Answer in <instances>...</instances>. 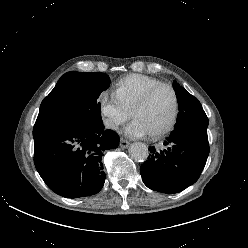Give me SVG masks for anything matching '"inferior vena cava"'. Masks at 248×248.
Instances as JSON below:
<instances>
[{
  "label": "inferior vena cava",
  "mask_w": 248,
  "mask_h": 248,
  "mask_svg": "<svg viewBox=\"0 0 248 248\" xmlns=\"http://www.w3.org/2000/svg\"><path fill=\"white\" fill-rule=\"evenodd\" d=\"M105 125H106V127L111 128V129H117L118 128V124L113 122V121H110V120H106Z\"/></svg>",
  "instance_id": "1"
}]
</instances>
